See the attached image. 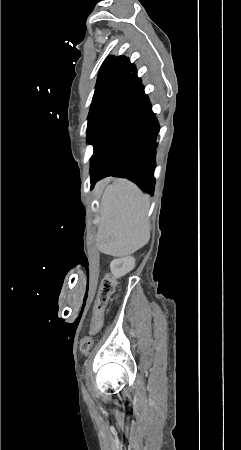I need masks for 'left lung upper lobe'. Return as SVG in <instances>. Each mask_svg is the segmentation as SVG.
I'll list each match as a JSON object with an SVG mask.
<instances>
[{
  "label": "left lung upper lobe",
  "mask_w": 241,
  "mask_h": 450,
  "mask_svg": "<svg viewBox=\"0 0 241 450\" xmlns=\"http://www.w3.org/2000/svg\"><path fill=\"white\" fill-rule=\"evenodd\" d=\"M128 62L125 56H110L101 67L88 114L87 133L97 115L115 99L123 87L124 69Z\"/></svg>",
  "instance_id": "1"
}]
</instances>
